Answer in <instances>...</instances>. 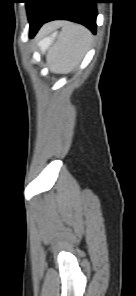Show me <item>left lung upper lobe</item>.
<instances>
[{
    "label": "left lung upper lobe",
    "mask_w": 136,
    "mask_h": 296,
    "mask_svg": "<svg viewBox=\"0 0 136 296\" xmlns=\"http://www.w3.org/2000/svg\"><path fill=\"white\" fill-rule=\"evenodd\" d=\"M53 0H26V9L30 26L40 21L49 10Z\"/></svg>",
    "instance_id": "5c2ea615"
}]
</instances>
